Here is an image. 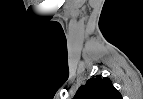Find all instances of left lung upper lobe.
<instances>
[{"instance_id":"5c2ea615","label":"left lung upper lobe","mask_w":143,"mask_h":99,"mask_svg":"<svg viewBox=\"0 0 143 99\" xmlns=\"http://www.w3.org/2000/svg\"><path fill=\"white\" fill-rule=\"evenodd\" d=\"M74 99H122V96L109 78L97 75L78 89Z\"/></svg>"}]
</instances>
